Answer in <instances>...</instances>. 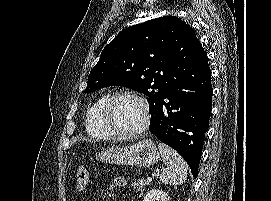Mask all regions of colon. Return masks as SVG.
<instances>
[{"label":"colon","mask_w":271,"mask_h":201,"mask_svg":"<svg viewBox=\"0 0 271 201\" xmlns=\"http://www.w3.org/2000/svg\"><path fill=\"white\" fill-rule=\"evenodd\" d=\"M89 182V174L85 165L79 166L76 177L77 190L83 192L86 190Z\"/></svg>","instance_id":"5ec220e1"}]
</instances>
